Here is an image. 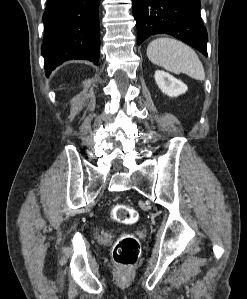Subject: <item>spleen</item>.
I'll list each match as a JSON object with an SVG mask.
<instances>
[{
    "label": "spleen",
    "instance_id": "3e777b00",
    "mask_svg": "<svg viewBox=\"0 0 247 299\" xmlns=\"http://www.w3.org/2000/svg\"><path fill=\"white\" fill-rule=\"evenodd\" d=\"M147 57L155 65L175 74L185 73L203 81L205 71L195 51L188 45L172 38H158L147 47Z\"/></svg>",
    "mask_w": 247,
    "mask_h": 299
}]
</instances>
